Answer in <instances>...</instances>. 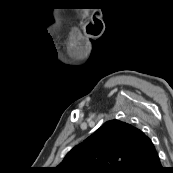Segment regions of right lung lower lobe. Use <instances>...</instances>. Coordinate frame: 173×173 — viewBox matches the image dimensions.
Here are the masks:
<instances>
[{
	"label": "right lung lower lobe",
	"instance_id": "98d812e1",
	"mask_svg": "<svg viewBox=\"0 0 173 173\" xmlns=\"http://www.w3.org/2000/svg\"><path fill=\"white\" fill-rule=\"evenodd\" d=\"M123 173H163L156 149L132 162Z\"/></svg>",
	"mask_w": 173,
	"mask_h": 173
}]
</instances>
